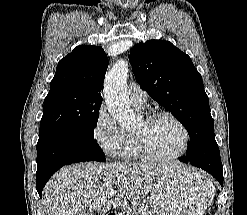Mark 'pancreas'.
Listing matches in <instances>:
<instances>
[{"label":"pancreas","mask_w":247,"mask_h":215,"mask_svg":"<svg viewBox=\"0 0 247 215\" xmlns=\"http://www.w3.org/2000/svg\"><path fill=\"white\" fill-rule=\"evenodd\" d=\"M147 206L140 202H133L130 206L124 208L121 215H148Z\"/></svg>","instance_id":"obj_1"}]
</instances>
